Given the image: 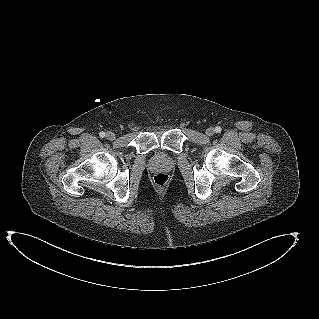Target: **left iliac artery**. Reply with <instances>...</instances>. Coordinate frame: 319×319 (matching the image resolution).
Here are the masks:
<instances>
[{
	"mask_svg": "<svg viewBox=\"0 0 319 319\" xmlns=\"http://www.w3.org/2000/svg\"><path fill=\"white\" fill-rule=\"evenodd\" d=\"M221 130H222V129H221V127H220V126L215 127V132H216V133H220V132H221Z\"/></svg>",
	"mask_w": 319,
	"mask_h": 319,
	"instance_id": "left-iliac-artery-1",
	"label": "left iliac artery"
}]
</instances>
